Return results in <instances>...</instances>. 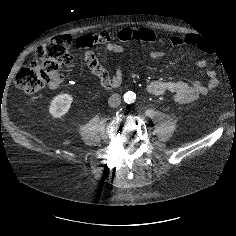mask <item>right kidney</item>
Returning <instances> with one entry per match:
<instances>
[{
    "instance_id": "ca27d5eb",
    "label": "right kidney",
    "mask_w": 236,
    "mask_h": 236,
    "mask_svg": "<svg viewBox=\"0 0 236 236\" xmlns=\"http://www.w3.org/2000/svg\"><path fill=\"white\" fill-rule=\"evenodd\" d=\"M73 102V98L70 94L64 93L56 95L50 103L49 113L54 118H60L65 115Z\"/></svg>"
}]
</instances>
